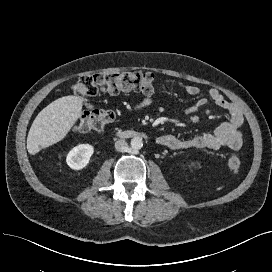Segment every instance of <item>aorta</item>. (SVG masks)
<instances>
[{
    "label": "aorta",
    "instance_id": "aorta-1",
    "mask_svg": "<svg viewBox=\"0 0 272 272\" xmlns=\"http://www.w3.org/2000/svg\"><path fill=\"white\" fill-rule=\"evenodd\" d=\"M130 145H131V148L134 151L140 150L143 147L142 138L141 137H134V138H132L131 142H130Z\"/></svg>",
    "mask_w": 272,
    "mask_h": 272
}]
</instances>
